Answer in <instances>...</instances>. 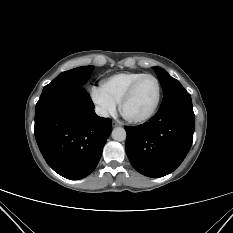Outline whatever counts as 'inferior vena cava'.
I'll return each instance as SVG.
<instances>
[{
	"mask_svg": "<svg viewBox=\"0 0 233 233\" xmlns=\"http://www.w3.org/2000/svg\"><path fill=\"white\" fill-rule=\"evenodd\" d=\"M95 112L98 116H101V117H108L109 116L107 110L104 107L97 106L95 108Z\"/></svg>",
	"mask_w": 233,
	"mask_h": 233,
	"instance_id": "inferior-vena-cava-1",
	"label": "inferior vena cava"
}]
</instances>
